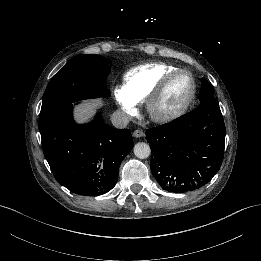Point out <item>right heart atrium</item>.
Returning a JSON list of instances; mask_svg holds the SVG:
<instances>
[{"mask_svg": "<svg viewBox=\"0 0 261 261\" xmlns=\"http://www.w3.org/2000/svg\"><path fill=\"white\" fill-rule=\"evenodd\" d=\"M114 98L119 105L121 111L128 120L134 119L138 115V108L126 91L122 88L114 90Z\"/></svg>", "mask_w": 261, "mask_h": 261, "instance_id": "right-heart-atrium-1", "label": "right heart atrium"}]
</instances>
